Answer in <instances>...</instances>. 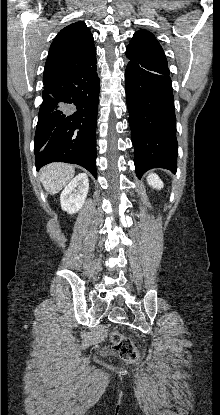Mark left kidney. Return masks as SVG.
Listing matches in <instances>:
<instances>
[{
    "label": "left kidney",
    "instance_id": "obj_1",
    "mask_svg": "<svg viewBox=\"0 0 220 415\" xmlns=\"http://www.w3.org/2000/svg\"><path fill=\"white\" fill-rule=\"evenodd\" d=\"M147 182L150 186H152L155 189L160 190V189L163 188V182L158 177V175L155 174V173H151V174L148 175Z\"/></svg>",
    "mask_w": 220,
    "mask_h": 415
}]
</instances>
